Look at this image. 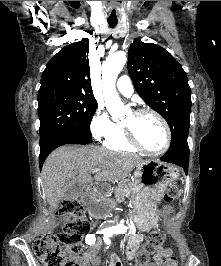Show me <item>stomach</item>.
I'll return each mask as SVG.
<instances>
[{
  "label": "stomach",
  "mask_w": 221,
  "mask_h": 266,
  "mask_svg": "<svg viewBox=\"0 0 221 266\" xmlns=\"http://www.w3.org/2000/svg\"><path fill=\"white\" fill-rule=\"evenodd\" d=\"M178 177V168L157 159H146L137 165L130 200L141 225L158 219L155 204Z\"/></svg>",
  "instance_id": "stomach-1"
}]
</instances>
